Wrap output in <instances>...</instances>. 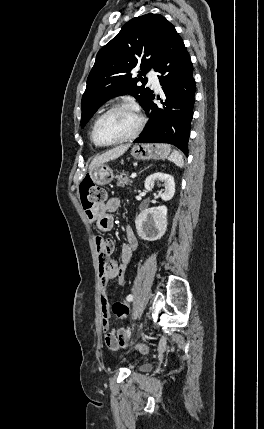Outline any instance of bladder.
<instances>
[{
    "label": "bladder",
    "instance_id": "bladder-1",
    "mask_svg": "<svg viewBox=\"0 0 264 429\" xmlns=\"http://www.w3.org/2000/svg\"><path fill=\"white\" fill-rule=\"evenodd\" d=\"M151 370H152V365H150V364H142L139 367V371H141V372H149Z\"/></svg>",
    "mask_w": 264,
    "mask_h": 429
}]
</instances>
